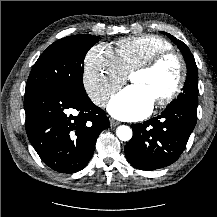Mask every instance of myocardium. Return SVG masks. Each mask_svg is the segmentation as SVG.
Masks as SVG:
<instances>
[{
  "label": "myocardium",
  "mask_w": 217,
  "mask_h": 217,
  "mask_svg": "<svg viewBox=\"0 0 217 217\" xmlns=\"http://www.w3.org/2000/svg\"><path fill=\"white\" fill-rule=\"evenodd\" d=\"M172 60L176 64L177 68V77L176 82L173 89L164 97L159 98L155 101L157 106H166L172 103L183 91L186 77H187V69L185 66V62L181 55L176 53L175 51H166L157 54L155 57L150 59L148 62L138 66L133 70V73L137 72H155L157 71L164 63ZM132 73V74H133Z\"/></svg>",
  "instance_id": "myocardium-1"
}]
</instances>
